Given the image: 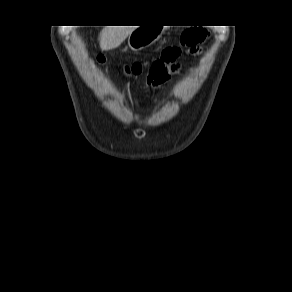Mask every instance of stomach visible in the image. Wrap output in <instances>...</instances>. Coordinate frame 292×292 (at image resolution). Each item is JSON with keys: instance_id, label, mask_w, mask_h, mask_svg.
Segmentation results:
<instances>
[{"instance_id": "obj_1", "label": "stomach", "mask_w": 292, "mask_h": 292, "mask_svg": "<svg viewBox=\"0 0 292 292\" xmlns=\"http://www.w3.org/2000/svg\"><path fill=\"white\" fill-rule=\"evenodd\" d=\"M159 29L154 27L140 26L134 30L128 37V48L137 52L150 46L159 38Z\"/></svg>"}]
</instances>
